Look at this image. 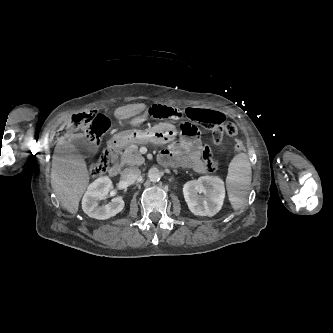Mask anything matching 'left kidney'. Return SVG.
<instances>
[{"label":"left kidney","mask_w":333,"mask_h":333,"mask_svg":"<svg viewBox=\"0 0 333 333\" xmlns=\"http://www.w3.org/2000/svg\"><path fill=\"white\" fill-rule=\"evenodd\" d=\"M185 201L195 215L213 216L221 209L225 198L224 183L219 177L202 176L183 187Z\"/></svg>","instance_id":"5707ae66"}]
</instances>
